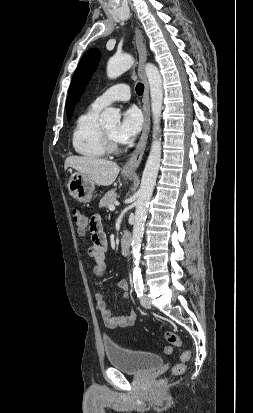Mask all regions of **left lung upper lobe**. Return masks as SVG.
<instances>
[{
    "label": "left lung upper lobe",
    "instance_id": "5c2ea615",
    "mask_svg": "<svg viewBox=\"0 0 253 413\" xmlns=\"http://www.w3.org/2000/svg\"><path fill=\"white\" fill-rule=\"evenodd\" d=\"M101 53L97 49L88 50L82 57L70 84L68 98L66 101V113L68 120L73 114L74 107L80 99L91 79L100 60Z\"/></svg>",
    "mask_w": 253,
    "mask_h": 413
}]
</instances>
